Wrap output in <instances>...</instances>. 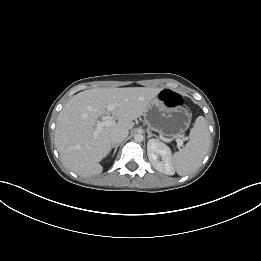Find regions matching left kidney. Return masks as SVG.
Segmentation results:
<instances>
[{"label": "left kidney", "mask_w": 261, "mask_h": 261, "mask_svg": "<svg viewBox=\"0 0 261 261\" xmlns=\"http://www.w3.org/2000/svg\"><path fill=\"white\" fill-rule=\"evenodd\" d=\"M147 155L157 171L167 175L174 173L171 150L167 145L157 139H150L147 143Z\"/></svg>", "instance_id": "1"}]
</instances>
